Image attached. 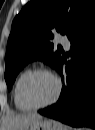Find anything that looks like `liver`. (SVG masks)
<instances>
[{"mask_svg": "<svg viewBox=\"0 0 95 130\" xmlns=\"http://www.w3.org/2000/svg\"><path fill=\"white\" fill-rule=\"evenodd\" d=\"M41 118L36 113L9 114L5 118V128L6 130H28L32 123Z\"/></svg>", "mask_w": 95, "mask_h": 130, "instance_id": "obj_1", "label": "liver"}]
</instances>
